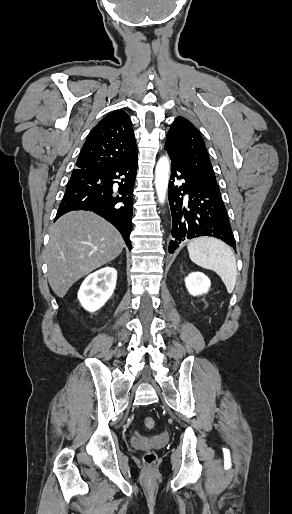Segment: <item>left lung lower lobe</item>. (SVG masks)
<instances>
[{
	"instance_id": "0a47b994",
	"label": "left lung lower lobe",
	"mask_w": 292,
	"mask_h": 514,
	"mask_svg": "<svg viewBox=\"0 0 292 514\" xmlns=\"http://www.w3.org/2000/svg\"><path fill=\"white\" fill-rule=\"evenodd\" d=\"M171 164L169 204L172 215L169 252L181 241L199 236H211L236 248L235 238L218 185L203 181L189 173L168 152ZM183 179L181 186L174 185Z\"/></svg>"
}]
</instances>
